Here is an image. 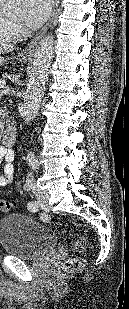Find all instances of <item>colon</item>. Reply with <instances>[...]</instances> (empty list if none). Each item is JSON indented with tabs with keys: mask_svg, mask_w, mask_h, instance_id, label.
<instances>
[{
	"mask_svg": "<svg viewBox=\"0 0 129 309\" xmlns=\"http://www.w3.org/2000/svg\"><path fill=\"white\" fill-rule=\"evenodd\" d=\"M13 207V203L0 199V211L7 212ZM42 215V214H41ZM88 246V241L84 237H80L76 242V248L83 250ZM83 265V260L81 258H70L63 263V270L65 272H74L79 270Z\"/></svg>",
	"mask_w": 129,
	"mask_h": 309,
	"instance_id": "1",
	"label": "colon"
}]
</instances>
